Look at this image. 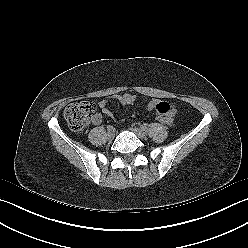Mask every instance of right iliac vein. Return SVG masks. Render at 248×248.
Here are the masks:
<instances>
[{
	"mask_svg": "<svg viewBox=\"0 0 248 248\" xmlns=\"http://www.w3.org/2000/svg\"><path fill=\"white\" fill-rule=\"evenodd\" d=\"M114 136H115L114 131H108V133H107V138H108L109 140L113 139Z\"/></svg>",
	"mask_w": 248,
	"mask_h": 248,
	"instance_id": "1",
	"label": "right iliac vein"
}]
</instances>
